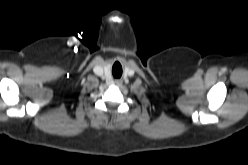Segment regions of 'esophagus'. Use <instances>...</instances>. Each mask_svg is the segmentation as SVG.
<instances>
[{"label": "esophagus", "instance_id": "esophagus-1", "mask_svg": "<svg viewBox=\"0 0 248 165\" xmlns=\"http://www.w3.org/2000/svg\"><path fill=\"white\" fill-rule=\"evenodd\" d=\"M114 83L115 85L120 86L122 85V80H115Z\"/></svg>", "mask_w": 248, "mask_h": 165}]
</instances>
